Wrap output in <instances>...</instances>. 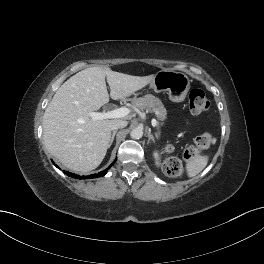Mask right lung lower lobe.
<instances>
[{
  "mask_svg": "<svg viewBox=\"0 0 264 264\" xmlns=\"http://www.w3.org/2000/svg\"><path fill=\"white\" fill-rule=\"evenodd\" d=\"M114 163H115V161L110 165V167ZM55 166L58 167L56 164H55ZM110 167H108L106 170H103V171L99 172L98 174H93V175H90V176H79V175L72 174V173H69V172H66V171H64V173H66L68 176L76 178V179H87V178H91L92 179V178L104 176L107 173V171L109 170Z\"/></svg>",
  "mask_w": 264,
  "mask_h": 264,
  "instance_id": "right-lung-lower-lobe-1",
  "label": "right lung lower lobe"
}]
</instances>
